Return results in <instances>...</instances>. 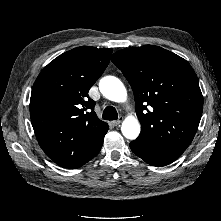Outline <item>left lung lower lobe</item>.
I'll return each instance as SVG.
<instances>
[{
    "label": "left lung lower lobe",
    "mask_w": 221,
    "mask_h": 221,
    "mask_svg": "<svg viewBox=\"0 0 221 221\" xmlns=\"http://www.w3.org/2000/svg\"><path fill=\"white\" fill-rule=\"evenodd\" d=\"M131 150L152 166H165L175 161L184 151L171 147H164L133 141L130 143Z\"/></svg>",
    "instance_id": "obj_1"
}]
</instances>
